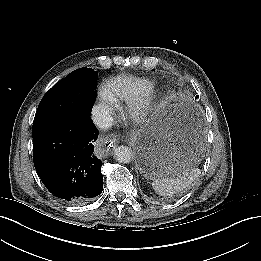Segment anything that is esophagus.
Instances as JSON below:
<instances>
[{
	"instance_id": "esophagus-1",
	"label": "esophagus",
	"mask_w": 261,
	"mask_h": 261,
	"mask_svg": "<svg viewBox=\"0 0 261 261\" xmlns=\"http://www.w3.org/2000/svg\"><path fill=\"white\" fill-rule=\"evenodd\" d=\"M117 139L115 137H113V139H110L108 142L106 140L107 143L110 142V144L107 146L105 152L102 153L103 156L107 157L111 154V147H115V143H116Z\"/></svg>"
}]
</instances>
